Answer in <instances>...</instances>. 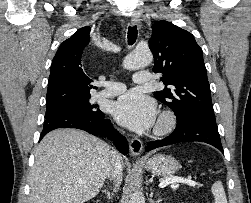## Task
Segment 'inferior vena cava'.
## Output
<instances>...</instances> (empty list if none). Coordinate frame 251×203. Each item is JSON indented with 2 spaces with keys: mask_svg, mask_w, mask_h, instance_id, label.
<instances>
[{
  "mask_svg": "<svg viewBox=\"0 0 251 203\" xmlns=\"http://www.w3.org/2000/svg\"><path fill=\"white\" fill-rule=\"evenodd\" d=\"M113 162L112 166L108 173V178L110 180L117 181L118 185L122 180V164H121V156L118 152L112 151Z\"/></svg>",
  "mask_w": 251,
  "mask_h": 203,
  "instance_id": "inferior-vena-cava-1",
  "label": "inferior vena cava"
}]
</instances>
